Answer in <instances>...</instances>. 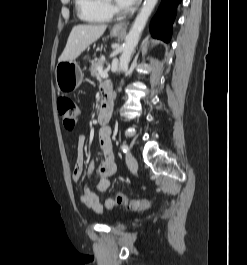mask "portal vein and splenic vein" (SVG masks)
Returning a JSON list of instances; mask_svg holds the SVG:
<instances>
[{
    "instance_id": "1",
    "label": "portal vein and splenic vein",
    "mask_w": 247,
    "mask_h": 265,
    "mask_svg": "<svg viewBox=\"0 0 247 265\" xmlns=\"http://www.w3.org/2000/svg\"><path fill=\"white\" fill-rule=\"evenodd\" d=\"M99 72L101 73V76H102L103 78H107V77H108L107 72H106V71H103L101 68H99Z\"/></svg>"
}]
</instances>
